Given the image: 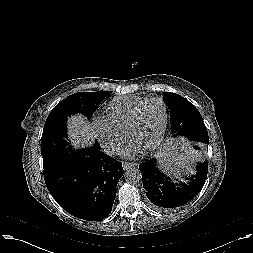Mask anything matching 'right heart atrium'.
<instances>
[{"instance_id":"d8ad5b80","label":"right heart atrium","mask_w":253,"mask_h":253,"mask_svg":"<svg viewBox=\"0 0 253 253\" xmlns=\"http://www.w3.org/2000/svg\"><path fill=\"white\" fill-rule=\"evenodd\" d=\"M94 128L102 147L108 153L115 154L121 149L125 134L116 130L108 119L96 118Z\"/></svg>"}]
</instances>
